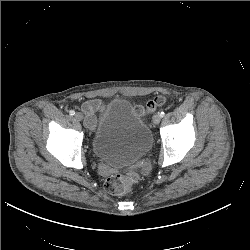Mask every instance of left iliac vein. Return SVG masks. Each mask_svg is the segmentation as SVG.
Listing matches in <instances>:
<instances>
[{"mask_svg":"<svg viewBox=\"0 0 250 250\" xmlns=\"http://www.w3.org/2000/svg\"><path fill=\"white\" fill-rule=\"evenodd\" d=\"M160 121H161V117H160L159 114H156V115L153 116V123H154V124L157 125V124L160 123Z\"/></svg>","mask_w":250,"mask_h":250,"instance_id":"left-iliac-vein-1","label":"left iliac vein"}]
</instances>
